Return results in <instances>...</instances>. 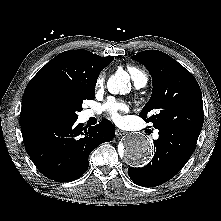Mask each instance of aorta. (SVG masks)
Here are the masks:
<instances>
[{
	"label": "aorta",
	"mask_w": 221,
	"mask_h": 221,
	"mask_svg": "<svg viewBox=\"0 0 221 221\" xmlns=\"http://www.w3.org/2000/svg\"><path fill=\"white\" fill-rule=\"evenodd\" d=\"M130 76L124 70H118L107 82L111 94H125L130 91ZM120 156L127 163L142 166L152 157V145L148 138L140 133L128 135L121 143Z\"/></svg>",
	"instance_id": "obj_1"
}]
</instances>
